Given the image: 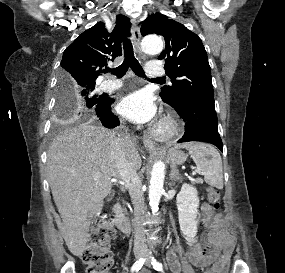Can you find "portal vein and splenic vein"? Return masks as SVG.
<instances>
[{"label": "portal vein and splenic vein", "mask_w": 285, "mask_h": 273, "mask_svg": "<svg viewBox=\"0 0 285 273\" xmlns=\"http://www.w3.org/2000/svg\"><path fill=\"white\" fill-rule=\"evenodd\" d=\"M196 172H199V171H193V175H195ZM100 175H101L100 173L97 174V176H100Z\"/></svg>", "instance_id": "1"}]
</instances>
